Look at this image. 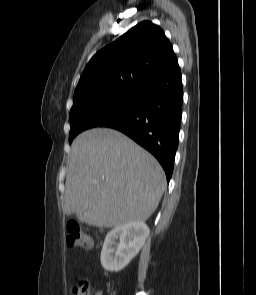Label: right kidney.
I'll list each match as a JSON object with an SVG mask.
<instances>
[{
  "label": "right kidney",
  "mask_w": 256,
  "mask_h": 295,
  "mask_svg": "<svg viewBox=\"0 0 256 295\" xmlns=\"http://www.w3.org/2000/svg\"><path fill=\"white\" fill-rule=\"evenodd\" d=\"M149 232L148 226L142 221L113 228L106 235L101 251L102 267L110 272L124 269L142 248Z\"/></svg>",
  "instance_id": "ca27d5eb"
}]
</instances>
